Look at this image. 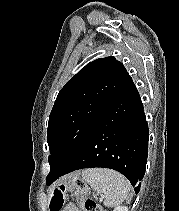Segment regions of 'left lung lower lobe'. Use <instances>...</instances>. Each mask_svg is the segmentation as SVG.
I'll use <instances>...</instances> for the list:
<instances>
[{
    "mask_svg": "<svg viewBox=\"0 0 179 211\" xmlns=\"http://www.w3.org/2000/svg\"><path fill=\"white\" fill-rule=\"evenodd\" d=\"M148 155V125L143 104L131 77L108 105L89 138L69 167L46 184L75 170L105 167L122 173L136 193L145 174Z\"/></svg>",
    "mask_w": 179,
    "mask_h": 211,
    "instance_id": "left-lung-lower-lobe-1",
    "label": "left lung lower lobe"
}]
</instances>
